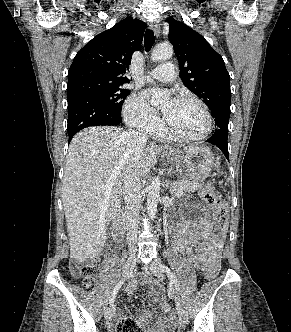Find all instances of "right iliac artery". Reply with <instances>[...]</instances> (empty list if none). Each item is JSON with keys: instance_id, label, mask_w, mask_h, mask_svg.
I'll use <instances>...</instances> for the list:
<instances>
[{"instance_id": "obj_1", "label": "right iliac artery", "mask_w": 291, "mask_h": 332, "mask_svg": "<svg viewBox=\"0 0 291 332\" xmlns=\"http://www.w3.org/2000/svg\"><path fill=\"white\" fill-rule=\"evenodd\" d=\"M125 280H126V278H123V279L120 280V281L117 283V285L115 286V288H114V290H113V293H112V295H111V297H110V300H109V304H110V306L113 305L114 300H115V297H116L117 293L119 292L121 286H122L123 283L125 282Z\"/></svg>"}]
</instances>
